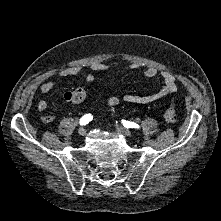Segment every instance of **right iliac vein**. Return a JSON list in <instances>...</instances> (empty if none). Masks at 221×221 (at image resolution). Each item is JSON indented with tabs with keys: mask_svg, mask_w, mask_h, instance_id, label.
<instances>
[{
	"mask_svg": "<svg viewBox=\"0 0 221 221\" xmlns=\"http://www.w3.org/2000/svg\"><path fill=\"white\" fill-rule=\"evenodd\" d=\"M78 134L80 136H85L86 135V129L81 127L79 130H78Z\"/></svg>",
	"mask_w": 221,
	"mask_h": 221,
	"instance_id": "obj_1",
	"label": "right iliac vein"
}]
</instances>
